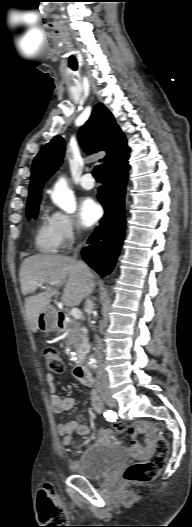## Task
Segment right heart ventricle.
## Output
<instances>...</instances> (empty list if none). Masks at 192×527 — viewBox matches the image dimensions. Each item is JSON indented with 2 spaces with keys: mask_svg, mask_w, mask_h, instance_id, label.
<instances>
[{
  "mask_svg": "<svg viewBox=\"0 0 192 527\" xmlns=\"http://www.w3.org/2000/svg\"><path fill=\"white\" fill-rule=\"evenodd\" d=\"M35 244L42 253H55L59 244L49 218H43L36 231Z\"/></svg>",
  "mask_w": 192,
  "mask_h": 527,
  "instance_id": "e07e8e85",
  "label": "right heart ventricle"
}]
</instances>
